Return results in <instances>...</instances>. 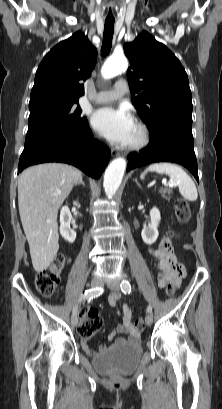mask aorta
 Here are the masks:
<instances>
[{"mask_svg":"<svg viewBox=\"0 0 222 409\" xmlns=\"http://www.w3.org/2000/svg\"><path fill=\"white\" fill-rule=\"evenodd\" d=\"M128 67L127 59L124 56L112 55L104 63L101 73L105 79H110L126 70ZM126 169V160L124 158L114 159L107 167L104 174L103 186L108 197H112L118 190Z\"/></svg>","mask_w":222,"mask_h":409,"instance_id":"1","label":"aorta"}]
</instances>
